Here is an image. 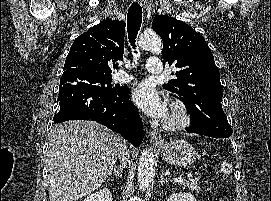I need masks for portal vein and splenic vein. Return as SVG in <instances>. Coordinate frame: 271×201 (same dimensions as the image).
<instances>
[{"label":"portal vein and splenic vein","instance_id":"1","mask_svg":"<svg viewBox=\"0 0 271 201\" xmlns=\"http://www.w3.org/2000/svg\"><path fill=\"white\" fill-rule=\"evenodd\" d=\"M175 182H183L184 181V178L182 177H177V178H174L173 179Z\"/></svg>","mask_w":271,"mask_h":201}]
</instances>
